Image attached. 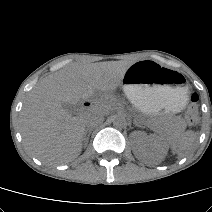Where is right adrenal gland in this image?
<instances>
[{
    "mask_svg": "<svg viewBox=\"0 0 212 212\" xmlns=\"http://www.w3.org/2000/svg\"><path fill=\"white\" fill-rule=\"evenodd\" d=\"M93 129H86L85 133H84V141H85V145H87V143L89 142V137L91 135Z\"/></svg>",
    "mask_w": 212,
    "mask_h": 212,
    "instance_id": "right-adrenal-gland-1",
    "label": "right adrenal gland"
}]
</instances>
